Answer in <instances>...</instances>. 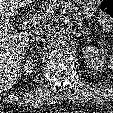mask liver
Returning <instances> with one entry per match:
<instances>
[{"mask_svg":"<svg viewBox=\"0 0 113 113\" xmlns=\"http://www.w3.org/2000/svg\"><path fill=\"white\" fill-rule=\"evenodd\" d=\"M34 0H0V91L10 90L20 73L28 47L29 33L17 32L10 21Z\"/></svg>","mask_w":113,"mask_h":113,"instance_id":"liver-1","label":"liver"}]
</instances>
